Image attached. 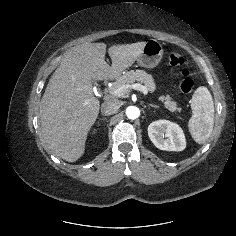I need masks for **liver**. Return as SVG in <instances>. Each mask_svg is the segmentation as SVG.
<instances>
[{
    "label": "liver",
    "instance_id": "obj_1",
    "mask_svg": "<svg viewBox=\"0 0 236 236\" xmlns=\"http://www.w3.org/2000/svg\"><path fill=\"white\" fill-rule=\"evenodd\" d=\"M145 43L109 47L111 66L105 61L104 43H83L64 55L40 102L43 139L57 156L75 162L84 154L88 133L100 108L92 80L119 76L137 60Z\"/></svg>",
    "mask_w": 236,
    "mask_h": 236
}]
</instances>
